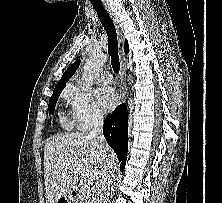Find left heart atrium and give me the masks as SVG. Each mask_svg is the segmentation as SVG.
Returning a JSON list of instances; mask_svg holds the SVG:
<instances>
[{
    "label": "left heart atrium",
    "mask_w": 222,
    "mask_h": 203,
    "mask_svg": "<svg viewBox=\"0 0 222 203\" xmlns=\"http://www.w3.org/2000/svg\"><path fill=\"white\" fill-rule=\"evenodd\" d=\"M96 98L99 107L106 112L111 111L118 101L117 93L112 87L99 88L96 92Z\"/></svg>",
    "instance_id": "left-heart-atrium-1"
}]
</instances>
